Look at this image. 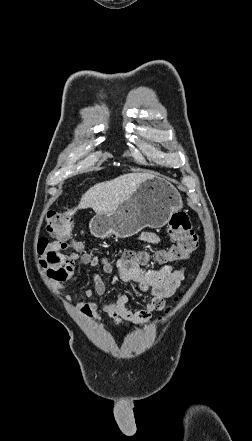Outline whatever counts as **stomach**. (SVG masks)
<instances>
[{
	"label": "stomach",
	"mask_w": 252,
	"mask_h": 441,
	"mask_svg": "<svg viewBox=\"0 0 252 441\" xmlns=\"http://www.w3.org/2000/svg\"><path fill=\"white\" fill-rule=\"evenodd\" d=\"M182 206L177 189L166 179L153 177L143 181L112 213H97L89 228L98 238H128L145 227H163Z\"/></svg>",
	"instance_id": "1"
}]
</instances>
